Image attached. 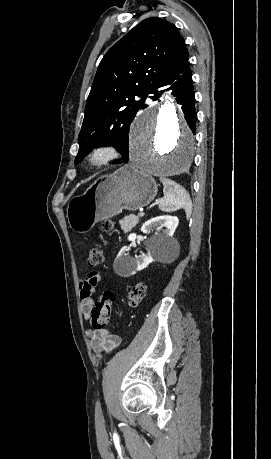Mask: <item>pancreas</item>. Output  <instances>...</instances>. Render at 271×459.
<instances>
[{
	"mask_svg": "<svg viewBox=\"0 0 271 459\" xmlns=\"http://www.w3.org/2000/svg\"><path fill=\"white\" fill-rule=\"evenodd\" d=\"M140 218L142 217L133 216V214H130V216H125L123 220H120L121 229H123L124 233H127V231H130V229L134 228V226L138 224Z\"/></svg>",
	"mask_w": 271,
	"mask_h": 459,
	"instance_id": "cf45deb5",
	"label": "pancreas"
}]
</instances>
